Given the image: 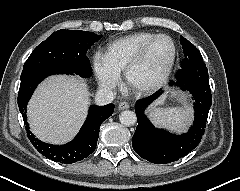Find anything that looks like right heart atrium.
<instances>
[{"mask_svg": "<svg viewBox=\"0 0 240 191\" xmlns=\"http://www.w3.org/2000/svg\"><path fill=\"white\" fill-rule=\"evenodd\" d=\"M93 71L98 84L108 90H114L120 83V73L112 65L106 54L97 52L93 56Z\"/></svg>", "mask_w": 240, "mask_h": 191, "instance_id": "obj_1", "label": "right heart atrium"}]
</instances>
